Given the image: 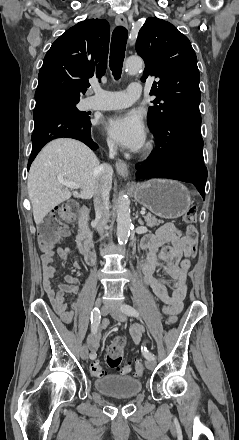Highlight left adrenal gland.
<instances>
[{"label":"left adrenal gland","instance_id":"a2214340","mask_svg":"<svg viewBox=\"0 0 239 440\" xmlns=\"http://www.w3.org/2000/svg\"><path fill=\"white\" fill-rule=\"evenodd\" d=\"M135 218H138V212H136V216H135ZM135 218H134V220H135ZM138 222H139V224H141V226H144V224H143L141 218H139Z\"/></svg>","mask_w":239,"mask_h":440}]
</instances>
